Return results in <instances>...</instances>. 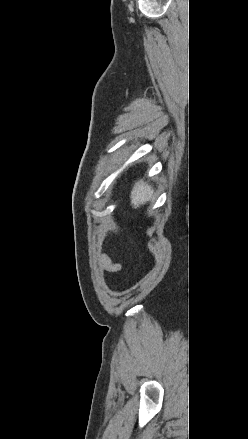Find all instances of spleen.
I'll use <instances>...</instances> for the list:
<instances>
[{"label": "spleen", "mask_w": 248, "mask_h": 439, "mask_svg": "<svg viewBox=\"0 0 248 439\" xmlns=\"http://www.w3.org/2000/svg\"><path fill=\"white\" fill-rule=\"evenodd\" d=\"M154 190L151 186L140 181L137 182L131 191V204L134 208H138L140 205H144L150 200L154 199Z\"/></svg>", "instance_id": "obj_1"}]
</instances>
